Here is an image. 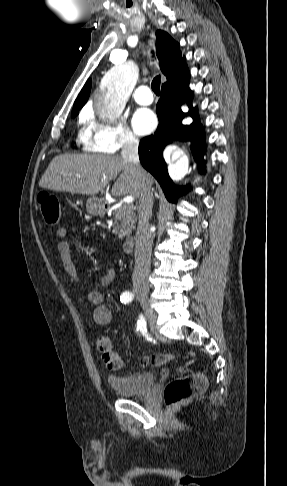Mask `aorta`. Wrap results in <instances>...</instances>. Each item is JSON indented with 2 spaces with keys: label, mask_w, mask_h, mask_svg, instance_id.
Wrapping results in <instances>:
<instances>
[{
  "label": "aorta",
  "mask_w": 287,
  "mask_h": 486,
  "mask_svg": "<svg viewBox=\"0 0 287 486\" xmlns=\"http://www.w3.org/2000/svg\"><path fill=\"white\" fill-rule=\"evenodd\" d=\"M131 89L132 83L127 72L110 73L96 98L95 110L99 118L109 122L117 119L124 109ZM173 158L179 160L169 166V175L172 180L179 181L188 171V161L180 151H175Z\"/></svg>",
  "instance_id": "obj_1"
}]
</instances>
